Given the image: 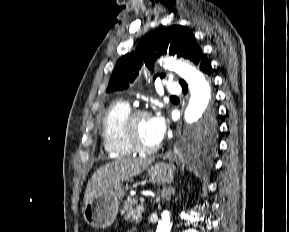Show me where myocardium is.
Segmentation results:
<instances>
[{
	"label": "myocardium",
	"instance_id": "1",
	"mask_svg": "<svg viewBox=\"0 0 289 232\" xmlns=\"http://www.w3.org/2000/svg\"><path fill=\"white\" fill-rule=\"evenodd\" d=\"M144 116H151V113L148 110L142 108L131 109L123 120L122 134L125 141L136 153L150 154L159 148V144L151 147L143 145L138 140L134 128L136 120Z\"/></svg>",
	"mask_w": 289,
	"mask_h": 232
}]
</instances>
